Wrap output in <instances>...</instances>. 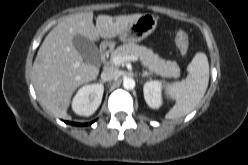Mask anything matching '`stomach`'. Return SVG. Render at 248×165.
I'll list each match as a JSON object with an SVG mask.
<instances>
[{
    "label": "stomach",
    "mask_w": 248,
    "mask_h": 165,
    "mask_svg": "<svg viewBox=\"0 0 248 165\" xmlns=\"http://www.w3.org/2000/svg\"><path fill=\"white\" fill-rule=\"evenodd\" d=\"M157 26V19L152 14H142L135 22L119 35V39L126 43L140 42L150 35Z\"/></svg>",
    "instance_id": "obj_1"
}]
</instances>
